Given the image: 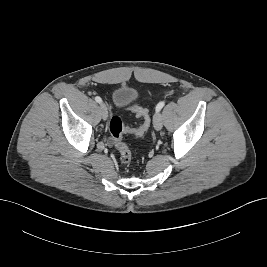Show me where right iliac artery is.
<instances>
[{"label": "right iliac artery", "instance_id": "obj_1", "mask_svg": "<svg viewBox=\"0 0 267 267\" xmlns=\"http://www.w3.org/2000/svg\"><path fill=\"white\" fill-rule=\"evenodd\" d=\"M95 101L98 102V103H101L102 99L99 96H97V97H95Z\"/></svg>", "mask_w": 267, "mask_h": 267}]
</instances>
